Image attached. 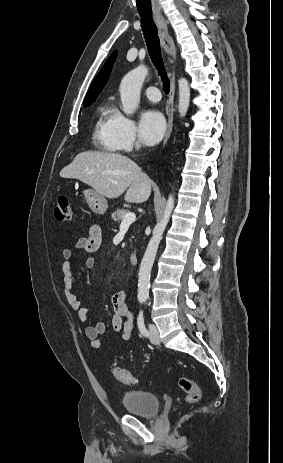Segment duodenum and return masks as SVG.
Returning a JSON list of instances; mask_svg holds the SVG:
<instances>
[{
    "mask_svg": "<svg viewBox=\"0 0 283 463\" xmlns=\"http://www.w3.org/2000/svg\"><path fill=\"white\" fill-rule=\"evenodd\" d=\"M129 261H130V264H131L132 266H135V265L137 264V262H138V257H137V255L132 254V255L130 256V258H129Z\"/></svg>",
    "mask_w": 283,
    "mask_h": 463,
    "instance_id": "duodenum-1",
    "label": "duodenum"
}]
</instances>
